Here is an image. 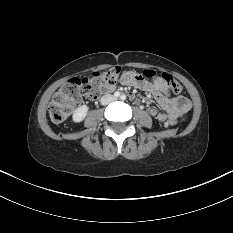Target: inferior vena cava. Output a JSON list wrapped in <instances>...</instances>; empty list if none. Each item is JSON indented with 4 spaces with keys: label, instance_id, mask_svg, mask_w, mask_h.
Segmentation results:
<instances>
[{
    "label": "inferior vena cava",
    "instance_id": "obj_1",
    "mask_svg": "<svg viewBox=\"0 0 233 233\" xmlns=\"http://www.w3.org/2000/svg\"><path fill=\"white\" fill-rule=\"evenodd\" d=\"M114 96L111 95V94H106V95H103L100 102L102 105H107L109 104L110 102H112L114 100Z\"/></svg>",
    "mask_w": 233,
    "mask_h": 233
}]
</instances>
